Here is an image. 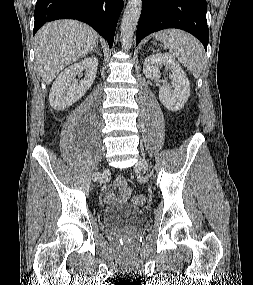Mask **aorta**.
<instances>
[{"label":"aorta","instance_id":"1","mask_svg":"<svg viewBox=\"0 0 253 285\" xmlns=\"http://www.w3.org/2000/svg\"><path fill=\"white\" fill-rule=\"evenodd\" d=\"M141 11L142 0H128L120 27V38L125 49H129L132 45L134 32L141 15Z\"/></svg>","mask_w":253,"mask_h":285}]
</instances>
